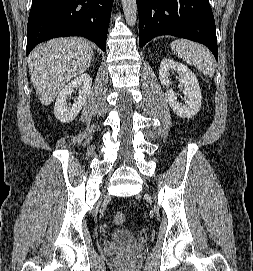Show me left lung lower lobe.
I'll list each match as a JSON object with an SVG mask.
<instances>
[{
  "label": "left lung lower lobe",
  "instance_id": "1",
  "mask_svg": "<svg viewBox=\"0 0 253 271\" xmlns=\"http://www.w3.org/2000/svg\"><path fill=\"white\" fill-rule=\"evenodd\" d=\"M139 45L152 38L172 35L206 45L218 60L214 16L209 0H136Z\"/></svg>",
  "mask_w": 253,
  "mask_h": 271
}]
</instances>
